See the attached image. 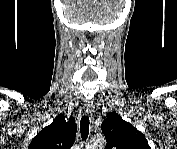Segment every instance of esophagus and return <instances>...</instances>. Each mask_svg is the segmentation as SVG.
I'll use <instances>...</instances> for the list:
<instances>
[{
	"instance_id": "esophagus-1",
	"label": "esophagus",
	"mask_w": 177,
	"mask_h": 149,
	"mask_svg": "<svg viewBox=\"0 0 177 149\" xmlns=\"http://www.w3.org/2000/svg\"><path fill=\"white\" fill-rule=\"evenodd\" d=\"M84 110L87 114H91L92 112V104L90 102H86L84 104Z\"/></svg>"
}]
</instances>
